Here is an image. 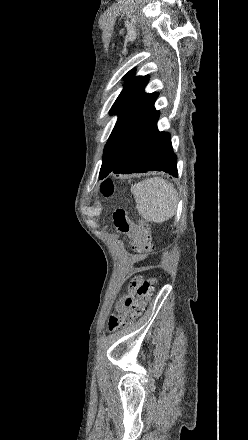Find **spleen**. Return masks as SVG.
I'll return each instance as SVG.
<instances>
[{
	"label": "spleen",
	"instance_id": "3e777b00",
	"mask_svg": "<svg viewBox=\"0 0 248 440\" xmlns=\"http://www.w3.org/2000/svg\"><path fill=\"white\" fill-rule=\"evenodd\" d=\"M131 192L139 214L148 222L163 223L176 213L177 191L165 179H146L133 185Z\"/></svg>",
	"mask_w": 248,
	"mask_h": 440
}]
</instances>
